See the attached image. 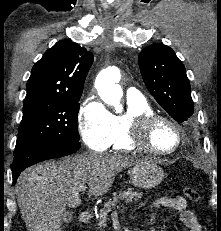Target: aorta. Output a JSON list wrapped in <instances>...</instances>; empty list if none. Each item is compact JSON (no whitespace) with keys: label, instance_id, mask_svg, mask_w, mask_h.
Here are the masks:
<instances>
[{"label":"aorta","instance_id":"aorta-1","mask_svg":"<svg viewBox=\"0 0 221 231\" xmlns=\"http://www.w3.org/2000/svg\"><path fill=\"white\" fill-rule=\"evenodd\" d=\"M121 75L117 67H108L101 71L96 78L95 86L101 99L115 108L116 112L121 110L120 100L123 91L120 85Z\"/></svg>","mask_w":221,"mask_h":231}]
</instances>
